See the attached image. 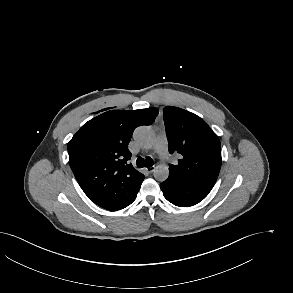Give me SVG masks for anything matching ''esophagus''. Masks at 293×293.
Segmentation results:
<instances>
[{"instance_id":"obj_1","label":"esophagus","mask_w":293,"mask_h":293,"mask_svg":"<svg viewBox=\"0 0 293 293\" xmlns=\"http://www.w3.org/2000/svg\"><path fill=\"white\" fill-rule=\"evenodd\" d=\"M145 170L148 172V173H153L154 170H155V166H148L145 168Z\"/></svg>"}]
</instances>
